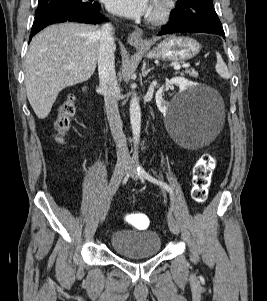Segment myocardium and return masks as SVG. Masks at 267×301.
Returning <instances> with one entry per match:
<instances>
[{
	"instance_id": "1",
	"label": "myocardium",
	"mask_w": 267,
	"mask_h": 301,
	"mask_svg": "<svg viewBox=\"0 0 267 301\" xmlns=\"http://www.w3.org/2000/svg\"><path fill=\"white\" fill-rule=\"evenodd\" d=\"M175 6V0H154L147 18L148 22L152 24L166 22L173 13Z\"/></svg>"
}]
</instances>
